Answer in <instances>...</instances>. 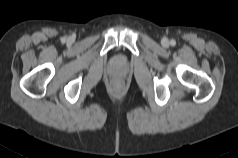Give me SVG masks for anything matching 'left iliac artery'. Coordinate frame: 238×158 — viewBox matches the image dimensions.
Returning a JSON list of instances; mask_svg holds the SVG:
<instances>
[{"mask_svg": "<svg viewBox=\"0 0 238 158\" xmlns=\"http://www.w3.org/2000/svg\"><path fill=\"white\" fill-rule=\"evenodd\" d=\"M170 44H171L172 46H175L176 41H175L174 39H172V40L170 41Z\"/></svg>", "mask_w": 238, "mask_h": 158, "instance_id": "left-iliac-artery-1", "label": "left iliac artery"}]
</instances>
